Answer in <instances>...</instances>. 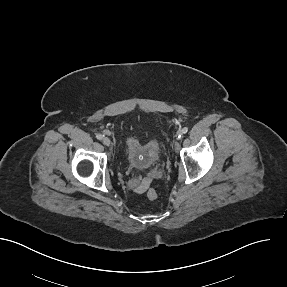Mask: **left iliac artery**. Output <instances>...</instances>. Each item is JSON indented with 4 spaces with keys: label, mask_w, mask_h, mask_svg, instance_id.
I'll use <instances>...</instances> for the list:
<instances>
[{
    "label": "left iliac artery",
    "mask_w": 287,
    "mask_h": 287,
    "mask_svg": "<svg viewBox=\"0 0 287 287\" xmlns=\"http://www.w3.org/2000/svg\"><path fill=\"white\" fill-rule=\"evenodd\" d=\"M188 132V128L184 127L183 129H181L178 133V137L180 138L181 136H183V134H186Z\"/></svg>",
    "instance_id": "44dca946"
}]
</instances>
